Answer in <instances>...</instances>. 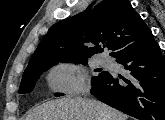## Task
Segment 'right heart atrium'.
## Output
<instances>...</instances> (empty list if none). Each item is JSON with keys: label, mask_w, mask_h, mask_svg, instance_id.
Returning a JSON list of instances; mask_svg holds the SVG:
<instances>
[{"label": "right heart atrium", "mask_w": 165, "mask_h": 120, "mask_svg": "<svg viewBox=\"0 0 165 120\" xmlns=\"http://www.w3.org/2000/svg\"><path fill=\"white\" fill-rule=\"evenodd\" d=\"M48 81L51 88L58 91L79 93L86 89L85 75L72 64L55 67L50 72Z\"/></svg>", "instance_id": "obj_1"}]
</instances>
